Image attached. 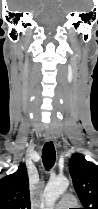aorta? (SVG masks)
I'll return each mask as SVG.
<instances>
[{"label":"aorta","instance_id":"762f6f07","mask_svg":"<svg viewBox=\"0 0 98 209\" xmlns=\"http://www.w3.org/2000/svg\"><path fill=\"white\" fill-rule=\"evenodd\" d=\"M69 186V180L66 177L52 178L48 181L45 190V204L47 209H53L57 199Z\"/></svg>","mask_w":98,"mask_h":209}]
</instances>
